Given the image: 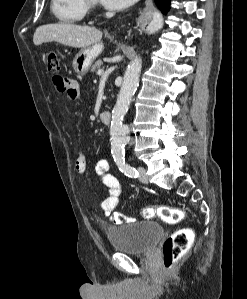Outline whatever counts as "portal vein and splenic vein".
<instances>
[{"label":"portal vein and splenic vein","instance_id":"18ae733b","mask_svg":"<svg viewBox=\"0 0 247 299\" xmlns=\"http://www.w3.org/2000/svg\"><path fill=\"white\" fill-rule=\"evenodd\" d=\"M97 74L102 75V74H104V71L103 70H98Z\"/></svg>","mask_w":247,"mask_h":299}]
</instances>
